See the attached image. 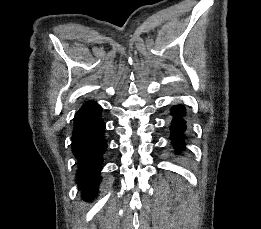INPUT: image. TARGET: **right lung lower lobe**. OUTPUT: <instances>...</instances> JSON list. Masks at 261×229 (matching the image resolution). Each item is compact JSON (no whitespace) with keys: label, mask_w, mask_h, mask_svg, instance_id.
<instances>
[{"label":"right lung lower lobe","mask_w":261,"mask_h":229,"mask_svg":"<svg viewBox=\"0 0 261 229\" xmlns=\"http://www.w3.org/2000/svg\"><path fill=\"white\" fill-rule=\"evenodd\" d=\"M101 111L100 105L88 101L74 117L71 148L77 160L76 183L84 199L98 195L102 179L100 171L107 141Z\"/></svg>","instance_id":"98d812e1"}]
</instances>
